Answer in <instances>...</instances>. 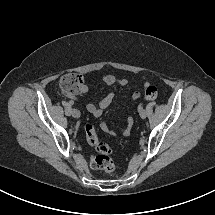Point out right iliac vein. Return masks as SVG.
I'll return each instance as SVG.
<instances>
[{"mask_svg": "<svg viewBox=\"0 0 215 215\" xmlns=\"http://www.w3.org/2000/svg\"><path fill=\"white\" fill-rule=\"evenodd\" d=\"M72 116L74 118H78L80 116V112L78 110H76V109H73L72 110Z\"/></svg>", "mask_w": 215, "mask_h": 215, "instance_id": "obj_1", "label": "right iliac vein"}]
</instances>
